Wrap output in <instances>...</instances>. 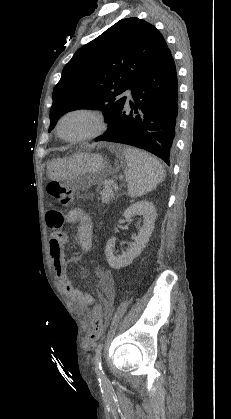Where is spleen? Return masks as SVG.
<instances>
[{
    "label": "spleen",
    "mask_w": 231,
    "mask_h": 419,
    "mask_svg": "<svg viewBox=\"0 0 231 419\" xmlns=\"http://www.w3.org/2000/svg\"><path fill=\"white\" fill-rule=\"evenodd\" d=\"M124 156L127 164L126 181L130 197L147 194L165 178L164 168L150 154L136 148L126 147Z\"/></svg>",
    "instance_id": "1"
}]
</instances>
